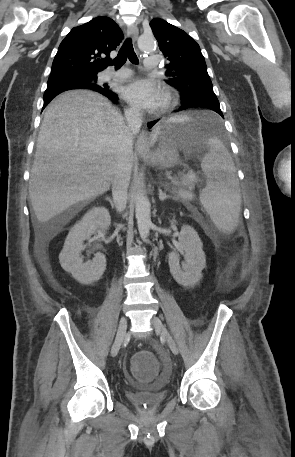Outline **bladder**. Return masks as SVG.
Returning <instances> with one entry per match:
<instances>
[{"label": "bladder", "mask_w": 295, "mask_h": 457, "mask_svg": "<svg viewBox=\"0 0 295 457\" xmlns=\"http://www.w3.org/2000/svg\"><path fill=\"white\" fill-rule=\"evenodd\" d=\"M154 352L157 354V360L161 361V374L158 378H152V384L148 385V389L142 391H128L127 398L133 404L134 411H157L168 398L169 393L163 387L168 383L174 374V367L170 359V354L165 352L164 345H155ZM130 363V361H129ZM121 375L127 377L129 375V367H122ZM129 381L132 379L129 378Z\"/></svg>", "instance_id": "bladder-1"}]
</instances>
